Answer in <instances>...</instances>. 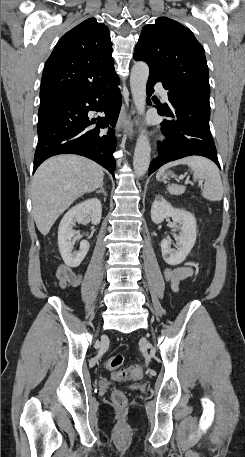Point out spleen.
I'll return each instance as SVG.
<instances>
[{
  "mask_svg": "<svg viewBox=\"0 0 245 457\" xmlns=\"http://www.w3.org/2000/svg\"><path fill=\"white\" fill-rule=\"evenodd\" d=\"M176 164H188L190 172H193V178H203L205 180L202 188V196L207 200H221L223 196V184L219 168L215 162L205 158V156H185L179 160H172L167 162L159 168L156 178L161 180V174L165 172L166 168L176 166ZM167 190L170 194H182L185 192L183 184H168Z\"/></svg>",
  "mask_w": 245,
  "mask_h": 457,
  "instance_id": "obj_1",
  "label": "spleen"
}]
</instances>
